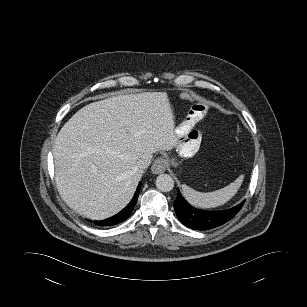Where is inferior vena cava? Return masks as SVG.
Returning a JSON list of instances; mask_svg holds the SVG:
<instances>
[{
	"instance_id": "obj_1",
	"label": "inferior vena cava",
	"mask_w": 307,
	"mask_h": 307,
	"mask_svg": "<svg viewBox=\"0 0 307 307\" xmlns=\"http://www.w3.org/2000/svg\"><path fill=\"white\" fill-rule=\"evenodd\" d=\"M149 165V162L147 160H140L138 163H137V170L141 173H143V170L145 168H147V166Z\"/></svg>"
}]
</instances>
